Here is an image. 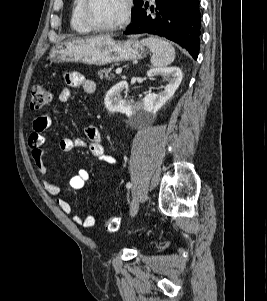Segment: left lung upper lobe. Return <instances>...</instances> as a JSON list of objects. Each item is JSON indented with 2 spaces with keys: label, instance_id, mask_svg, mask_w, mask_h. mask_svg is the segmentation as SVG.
<instances>
[{
  "label": "left lung upper lobe",
  "instance_id": "left-lung-upper-lobe-1",
  "mask_svg": "<svg viewBox=\"0 0 267 301\" xmlns=\"http://www.w3.org/2000/svg\"><path fill=\"white\" fill-rule=\"evenodd\" d=\"M134 2V8L132 9V19L133 17L138 13L140 8L142 7L144 1L143 0H133Z\"/></svg>",
  "mask_w": 267,
  "mask_h": 301
}]
</instances>
